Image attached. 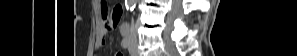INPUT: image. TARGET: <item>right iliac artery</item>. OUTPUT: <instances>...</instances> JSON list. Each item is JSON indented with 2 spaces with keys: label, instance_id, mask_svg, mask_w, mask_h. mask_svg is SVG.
Returning <instances> with one entry per match:
<instances>
[{
  "label": "right iliac artery",
  "instance_id": "obj_1",
  "mask_svg": "<svg viewBox=\"0 0 297 56\" xmlns=\"http://www.w3.org/2000/svg\"><path fill=\"white\" fill-rule=\"evenodd\" d=\"M121 45L123 48H127L129 45V40L127 38H124L121 42Z\"/></svg>",
  "mask_w": 297,
  "mask_h": 56
}]
</instances>
